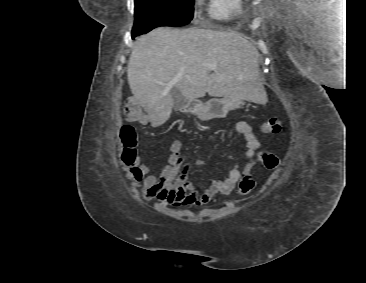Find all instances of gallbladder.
I'll use <instances>...</instances> for the list:
<instances>
[{
    "label": "gallbladder",
    "instance_id": "bac80fb5",
    "mask_svg": "<svg viewBox=\"0 0 366 283\" xmlns=\"http://www.w3.org/2000/svg\"><path fill=\"white\" fill-rule=\"evenodd\" d=\"M171 96L175 102L174 104V110H180L183 105L185 104V98L184 96L182 95V93L177 89V88H173L171 91Z\"/></svg>",
    "mask_w": 366,
    "mask_h": 283
}]
</instances>
